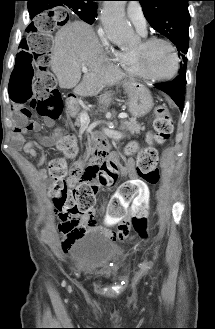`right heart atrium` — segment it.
I'll return each mask as SVG.
<instances>
[{
  "label": "right heart atrium",
  "instance_id": "1",
  "mask_svg": "<svg viewBox=\"0 0 215 329\" xmlns=\"http://www.w3.org/2000/svg\"><path fill=\"white\" fill-rule=\"evenodd\" d=\"M98 36L100 38V41L103 45V47L109 51V53L116 59L118 56V51L113 48V46L110 43L109 38L107 37L105 31L103 28L98 29Z\"/></svg>",
  "mask_w": 215,
  "mask_h": 329
}]
</instances>
